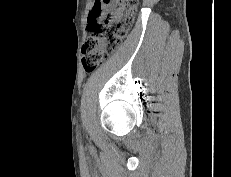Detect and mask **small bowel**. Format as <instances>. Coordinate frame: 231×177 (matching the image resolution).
<instances>
[{"mask_svg":"<svg viewBox=\"0 0 231 177\" xmlns=\"http://www.w3.org/2000/svg\"><path fill=\"white\" fill-rule=\"evenodd\" d=\"M96 1H97V0H96ZM96 1H95V4H96ZM95 4H94V6H95ZM111 4H112V3H107V4H102V5H101V14H100L99 18L103 15L105 9H107L106 6L109 7ZM93 8H94V7H93ZM90 15H91V14H90ZM90 15H89V17H90Z\"/></svg>","mask_w":231,"mask_h":177,"instance_id":"c3829d8e","label":"small bowel"}]
</instances>
